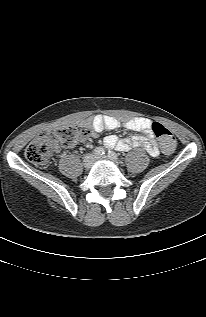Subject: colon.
Wrapping results in <instances>:
<instances>
[{"mask_svg": "<svg viewBox=\"0 0 206 317\" xmlns=\"http://www.w3.org/2000/svg\"><path fill=\"white\" fill-rule=\"evenodd\" d=\"M151 130L158 139L164 152L169 153L174 150L176 139L167 127L161 123L154 122L152 123ZM87 136L88 131L86 129L74 126H63L55 131V137L64 147H71ZM54 144L55 142L51 134L43 132L27 146L25 156L32 164L38 167H46L51 157Z\"/></svg>", "mask_w": 206, "mask_h": 317, "instance_id": "1", "label": "colon"}]
</instances>
